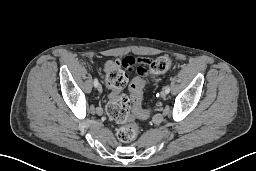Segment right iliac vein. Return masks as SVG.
Returning a JSON list of instances; mask_svg holds the SVG:
<instances>
[{
  "mask_svg": "<svg viewBox=\"0 0 256 171\" xmlns=\"http://www.w3.org/2000/svg\"><path fill=\"white\" fill-rule=\"evenodd\" d=\"M97 89L99 92H102V86L100 84L97 86Z\"/></svg>",
  "mask_w": 256,
  "mask_h": 171,
  "instance_id": "63e3f726",
  "label": "right iliac vein"
}]
</instances>
